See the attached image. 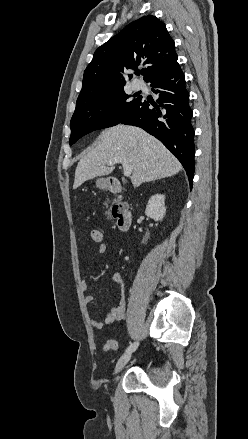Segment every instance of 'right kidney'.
Listing matches in <instances>:
<instances>
[{
  "label": "right kidney",
  "mask_w": 248,
  "mask_h": 439,
  "mask_svg": "<svg viewBox=\"0 0 248 439\" xmlns=\"http://www.w3.org/2000/svg\"><path fill=\"white\" fill-rule=\"evenodd\" d=\"M166 212L165 196L156 194L151 196L146 205L145 214L154 221H162Z\"/></svg>",
  "instance_id": "right-kidney-1"
}]
</instances>
